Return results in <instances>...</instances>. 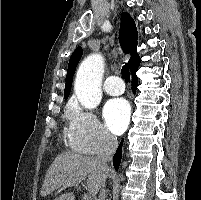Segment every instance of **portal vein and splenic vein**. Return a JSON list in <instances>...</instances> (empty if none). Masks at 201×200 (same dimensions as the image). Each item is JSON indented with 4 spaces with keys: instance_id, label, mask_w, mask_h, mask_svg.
<instances>
[{
    "instance_id": "portal-vein-and-splenic-vein-1",
    "label": "portal vein and splenic vein",
    "mask_w": 201,
    "mask_h": 200,
    "mask_svg": "<svg viewBox=\"0 0 201 200\" xmlns=\"http://www.w3.org/2000/svg\"><path fill=\"white\" fill-rule=\"evenodd\" d=\"M78 182L76 181H68L65 183L66 186H74V185H77ZM84 200H91V196L90 195H84Z\"/></svg>"
}]
</instances>
